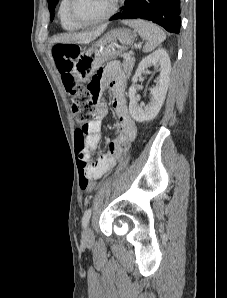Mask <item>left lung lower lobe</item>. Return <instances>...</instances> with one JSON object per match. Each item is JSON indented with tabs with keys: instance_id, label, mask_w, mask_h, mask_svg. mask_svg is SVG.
I'll use <instances>...</instances> for the list:
<instances>
[{
	"instance_id": "1",
	"label": "left lung lower lobe",
	"mask_w": 227,
	"mask_h": 298,
	"mask_svg": "<svg viewBox=\"0 0 227 298\" xmlns=\"http://www.w3.org/2000/svg\"><path fill=\"white\" fill-rule=\"evenodd\" d=\"M121 11L109 20L146 19L165 28L168 32L180 31V0H125Z\"/></svg>"
}]
</instances>
